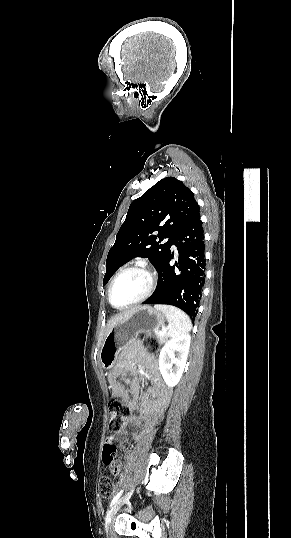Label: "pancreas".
<instances>
[{"label": "pancreas", "instance_id": "1", "mask_svg": "<svg viewBox=\"0 0 291 538\" xmlns=\"http://www.w3.org/2000/svg\"><path fill=\"white\" fill-rule=\"evenodd\" d=\"M156 336H157L159 344H164L168 339V336L166 334L165 335L156 334Z\"/></svg>", "mask_w": 291, "mask_h": 538}]
</instances>
